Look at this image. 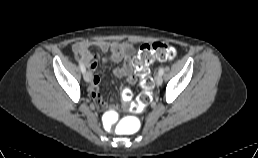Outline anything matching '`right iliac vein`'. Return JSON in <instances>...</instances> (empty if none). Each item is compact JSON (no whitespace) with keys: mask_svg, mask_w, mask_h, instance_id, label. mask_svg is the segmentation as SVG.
Here are the masks:
<instances>
[{"mask_svg":"<svg viewBox=\"0 0 258 158\" xmlns=\"http://www.w3.org/2000/svg\"><path fill=\"white\" fill-rule=\"evenodd\" d=\"M83 77H84V80L86 81V82H90L91 81V73L90 72H84V75H83Z\"/></svg>","mask_w":258,"mask_h":158,"instance_id":"obj_1","label":"right iliac vein"}]
</instances>
